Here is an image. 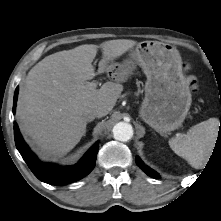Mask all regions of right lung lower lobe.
<instances>
[{
	"label": "right lung lower lobe",
	"instance_id": "98d812e1",
	"mask_svg": "<svg viewBox=\"0 0 221 221\" xmlns=\"http://www.w3.org/2000/svg\"><path fill=\"white\" fill-rule=\"evenodd\" d=\"M18 87L14 94L13 113L15 112ZM15 144L21 156L27 163L33 174L42 182L52 185H65L78 181L85 177L95 166L98 152V142H96L75 165L61 167L56 164L40 162L37 157L30 151L24 142L18 126L14 123Z\"/></svg>",
	"mask_w": 221,
	"mask_h": 221
}]
</instances>
